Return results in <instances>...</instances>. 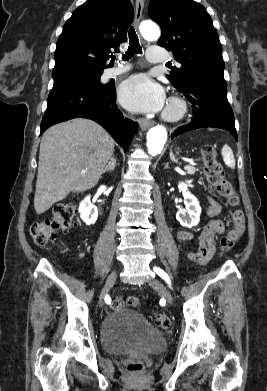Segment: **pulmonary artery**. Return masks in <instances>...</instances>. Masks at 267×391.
Masks as SVG:
<instances>
[{
  "mask_svg": "<svg viewBox=\"0 0 267 391\" xmlns=\"http://www.w3.org/2000/svg\"><path fill=\"white\" fill-rule=\"evenodd\" d=\"M147 59L152 63H160L169 60L170 56L161 47L152 46L148 49ZM128 70L129 67L126 65L121 67L111 68L107 71L106 76L109 78L116 77L118 75L125 73Z\"/></svg>",
  "mask_w": 267,
  "mask_h": 391,
  "instance_id": "obj_1",
  "label": "pulmonary artery"
}]
</instances>
